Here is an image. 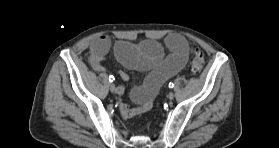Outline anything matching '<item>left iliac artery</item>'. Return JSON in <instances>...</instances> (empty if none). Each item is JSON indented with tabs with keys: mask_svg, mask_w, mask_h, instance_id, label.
Segmentation results:
<instances>
[{
	"mask_svg": "<svg viewBox=\"0 0 279 148\" xmlns=\"http://www.w3.org/2000/svg\"><path fill=\"white\" fill-rule=\"evenodd\" d=\"M174 87V83L170 82L169 83V88H173Z\"/></svg>",
	"mask_w": 279,
	"mask_h": 148,
	"instance_id": "obj_1",
	"label": "left iliac artery"
}]
</instances>
